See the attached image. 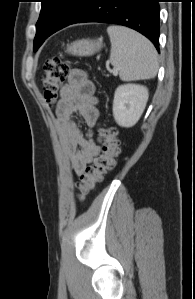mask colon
Masks as SVG:
<instances>
[{"mask_svg": "<svg viewBox=\"0 0 195 299\" xmlns=\"http://www.w3.org/2000/svg\"><path fill=\"white\" fill-rule=\"evenodd\" d=\"M70 61L62 55L49 58L44 65L41 83L45 100L54 104L59 91L70 71ZM101 137V152L96 156L92 165L86 167L84 173L76 183V194L80 200L103 182L106 174L116 165L119 154L117 130L113 126L104 127L99 132Z\"/></svg>", "mask_w": 195, "mask_h": 299, "instance_id": "obj_1", "label": "colon"}]
</instances>
